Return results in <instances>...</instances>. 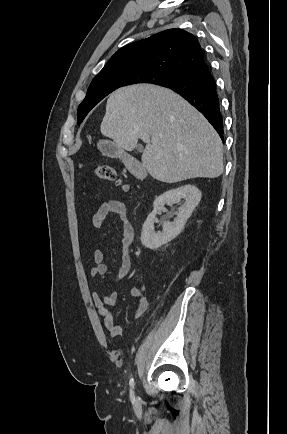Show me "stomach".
Instances as JSON below:
<instances>
[{
  "mask_svg": "<svg viewBox=\"0 0 287 434\" xmlns=\"http://www.w3.org/2000/svg\"><path fill=\"white\" fill-rule=\"evenodd\" d=\"M98 148L101 152L111 158H120L125 163H128L130 157L127 153L124 152L123 148L117 145L114 142L103 140L98 143Z\"/></svg>",
  "mask_w": 287,
  "mask_h": 434,
  "instance_id": "obj_1",
  "label": "stomach"
}]
</instances>
